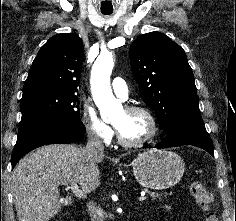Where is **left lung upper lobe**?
Here are the masks:
<instances>
[{
	"instance_id": "obj_1",
	"label": "left lung upper lobe",
	"mask_w": 236,
	"mask_h": 221,
	"mask_svg": "<svg viewBox=\"0 0 236 221\" xmlns=\"http://www.w3.org/2000/svg\"><path fill=\"white\" fill-rule=\"evenodd\" d=\"M129 54L139 92L164 131L182 121H202L194 75L181 46L150 32L132 43Z\"/></svg>"
}]
</instances>
